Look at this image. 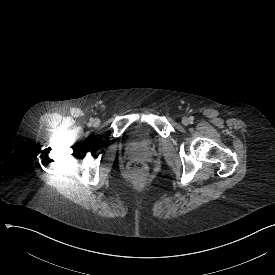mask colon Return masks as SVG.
<instances>
[{
  "mask_svg": "<svg viewBox=\"0 0 275 275\" xmlns=\"http://www.w3.org/2000/svg\"><path fill=\"white\" fill-rule=\"evenodd\" d=\"M145 163L143 161H133L129 164V171L132 173L143 174L145 172Z\"/></svg>",
  "mask_w": 275,
  "mask_h": 275,
  "instance_id": "obj_1",
  "label": "colon"
}]
</instances>
